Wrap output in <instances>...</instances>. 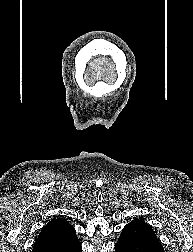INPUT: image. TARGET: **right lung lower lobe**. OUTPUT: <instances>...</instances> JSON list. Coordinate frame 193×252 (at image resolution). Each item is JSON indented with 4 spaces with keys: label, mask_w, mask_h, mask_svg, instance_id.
<instances>
[{
    "label": "right lung lower lobe",
    "mask_w": 193,
    "mask_h": 252,
    "mask_svg": "<svg viewBox=\"0 0 193 252\" xmlns=\"http://www.w3.org/2000/svg\"><path fill=\"white\" fill-rule=\"evenodd\" d=\"M81 244L74 229L60 232L35 243L32 252H81Z\"/></svg>",
    "instance_id": "obj_1"
}]
</instances>
